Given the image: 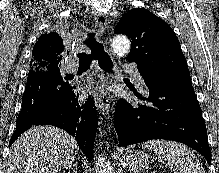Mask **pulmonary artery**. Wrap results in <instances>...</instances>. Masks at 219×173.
<instances>
[{
  "label": "pulmonary artery",
  "instance_id": "obj_1",
  "mask_svg": "<svg viewBox=\"0 0 219 173\" xmlns=\"http://www.w3.org/2000/svg\"><path fill=\"white\" fill-rule=\"evenodd\" d=\"M126 69H128L131 72L133 80L138 83L139 85L143 86V78L139 71L131 65H126Z\"/></svg>",
  "mask_w": 219,
  "mask_h": 173
}]
</instances>
